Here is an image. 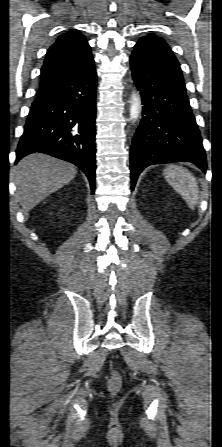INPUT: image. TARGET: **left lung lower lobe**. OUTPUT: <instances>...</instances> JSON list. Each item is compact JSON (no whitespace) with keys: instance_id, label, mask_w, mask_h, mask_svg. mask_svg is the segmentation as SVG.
<instances>
[{"instance_id":"left-lung-lower-lobe-1","label":"left lung lower lobe","mask_w":222,"mask_h":447,"mask_svg":"<svg viewBox=\"0 0 222 447\" xmlns=\"http://www.w3.org/2000/svg\"><path fill=\"white\" fill-rule=\"evenodd\" d=\"M130 63L144 105L130 152L131 189L149 165L189 161L205 172L201 135L180 64L169 46L153 34L142 37L134 46Z\"/></svg>"}]
</instances>
